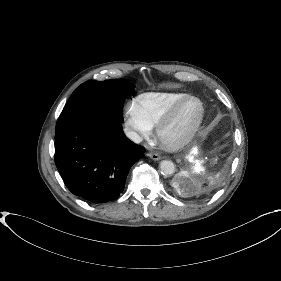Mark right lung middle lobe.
<instances>
[{"mask_svg": "<svg viewBox=\"0 0 281 281\" xmlns=\"http://www.w3.org/2000/svg\"><path fill=\"white\" fill-rule=\"evenodd\" d=\"M133 91L134 84L125 80L87 81L72 93L55 130L79 123H122L125 99Z\"/></svg>", "mask_w": 281, "mask_h": 281, "instance_id": "obj_1", "label": "right lung middle lobe"}]
</instances>
